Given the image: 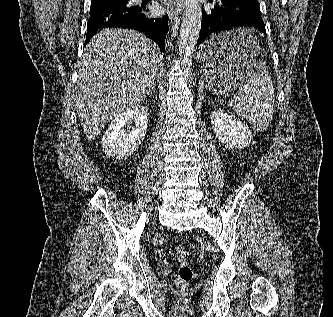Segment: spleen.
Wrapping results in <instances>:
<instances>
[{
  "mask_svg": "<svg viewBox=\"0 0 333 317\" xmlns=\"http://www.w3.org/2000/svg\"><path fill=\"white\" fill-rule=\"evenodd\" d=\"M232 42L247 48V45H258L254 32L249 28H239L231 32ZM275 105L274 88L268 69L261 63L238 87V92L229 106L239 115L246 118L253 127L262 131L266 129L273 117Z\"/></svg>",
  "mask_w": 333,
  "mask_h": 317,
  "instance_id": "spleen-1",
  "label": "spleen"
}]
</instances>
